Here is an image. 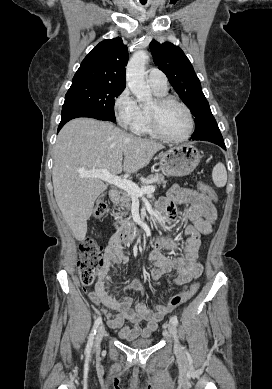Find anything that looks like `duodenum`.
<instances>
[{"label": "duodenum", "mask_w": 272, "mask_h": 389, "mask_svg": "<svg viewBox=\"0 0 272 389\" xmlns=\"http://www.w3.org/2000/svg\"><path fill=\"white\" fill-rule=\"evenodd\" d=\"M109 195L113 202H118L120 199V194L116 190H111ZM144 235L145 231L139 228H120L115 232L114 237L120 243H133L142 238Z\"/></svg>", "instance_id": "obj_1"}]
</instances>
